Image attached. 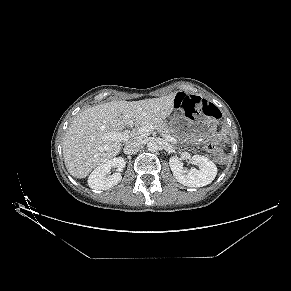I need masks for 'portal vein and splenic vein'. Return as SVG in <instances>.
Masks as SVG:
<instances>
[{"instance_id": "obj_1", "label": "portal vein and splenic vein", "mask_w": 291, "mask_h": 291, "mask_svg": "<svg viewBox=\"0 0 291 291\" xmlns=\"http://www.w3.org/2000/svg\"><path fill=\"white\" fill-rule=\"evenodd\" d=\"M154 130L153 125H145L143 127H140L136 133H129V132H112L110 133L107 138L114 141H127L132 136L136 135L137 137L146 135L147 133ZM164 138L170 142H176L174 138H172L170 135H164Z\"/></svg>"}]
</instances>
